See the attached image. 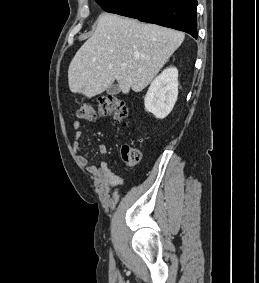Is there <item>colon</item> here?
Segmentation results:
<instances>
[{
  "mask_svg": "<svg viewBox=\"0 0 259 283\" xmlns=\"http://www.w3.org/2000/svg\"><path fill=\"white\" fill-rule=\"evenodd\" d=\"M77 116L82 120L92 121L98 116H113L116 124L120 126L127 125L129 116V108L127 104L120 98L114 95H107L99 98L96 105L90 103L82 104ZM141 146L125 144L121 148V158L125 165L133 166L141 159Z\"/></svg>",
  "mask_w": 259,
  "mask_h": 283,
  "instance_id": "5ec220e1",
  "label": "colon"
}]
</instances>
